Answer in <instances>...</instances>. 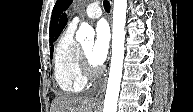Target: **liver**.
Segmentation results:
<instances>
[{
    "label": "liver",
    "instance_id": "6515ba94",
    "mask_svg": "<svg viewBox=\"0 0 193 112\" xmlns=\"http://www.w3.org/2000/svg\"><path fill=\"white\" fill-rule=\"evenodd\" d=\"M51 112H96L92 97H58L53 101Z\"/></svg>",
    "mask_w": 193,
    "mask_h": 112
}]
</instances>
